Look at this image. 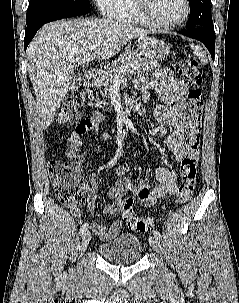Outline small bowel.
Segmentation results:
<instances>
[{"label": "small bowel", "mask_w": 239, "mask_h": 303, "mask_svg": "<svg viewBox=\"0 0 239 303\" xmlns=\"http://www.w3.org/2000/svg\"><path fill=\"white\" fill-rule=\"evenodd\" d=\"M136 87L143 94L144 100L149 99V92L154 91L159 104L155 108V116L159 123L172 126V132L165 140V145L172 152L175 159L180 161L184 155V107L183 99L187 92L186 84L172 76L169 69H160L152 77L140 76L135 81ZM102 113L96 112L91 116L84 118L67 140L66 156L77 159L80 163L85 159V153L81 151L83 136L87 133L99 134L107 141L110 134L101 131V123L104 120ZM129 165H118L114 168V173L118 177L114 187L108 190L106 197L114 200L113 203L105 205L101 213L103 215H116L120 212L123 201L122 194L128 192L137 196L143 206L154 205L159 199L166 195H174L177 192L176 174L165 168L156 167L154 172L157 184L151 187L145 180H140L137 185L125 176ZM99 188V178L96 173L90 175V193L87 200V207L92 215L96 213V200ZM72 214L78 218L81 217V211L77 207L71 208ZM91 230L101 239L109 241L117 236L122 229V221L115 220L111 225L105 226L97 222L90 224Z\"/></svg>", "instance_id": "c3829d8e"}]
</instances>
